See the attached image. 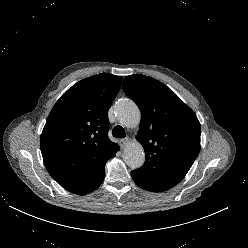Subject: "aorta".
<instances>
[{
    "label": "aorta",
    "instance_id": "1",
    "mask_svg": "<svg viewBox=\"0 0 248 248\" xmlns=\"http://www.w3.org/2000/svg\"><path fill=\"white\" fill-rule=\"evenodd\" d=\"M116 113L119 122L127 128H135L139 125L141 113L138 106L130 99H122L117 103ZM123 159L129 167L136 169L145 161V152L139 142L129 143L123 154Z\"/></svg>",
    "mask_w": 248,
    "mask_h": 248
}]
</instances>
